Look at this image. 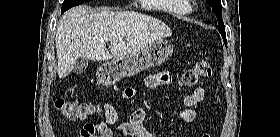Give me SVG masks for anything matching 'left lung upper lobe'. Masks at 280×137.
Returning a JSON list of instances; mask_svg holds the SVG:
<instances>
[{
    "instance_id": "obj_1",
    "label": "left lung upper lobe",
    "mask_w": 280,
    "mask_h": 137,
    "mask_svg": "<svg viewBox=\"0 0 280 137\" xmlns=\"http://www.w3.org/2000/svg\"><path fill=\"white\" fill-rule=\"evenodd\" d=\"M207 3L212 6V10L214 11L217 20H218V31L220 32L225 46L227 47V40H226V33H225V26L222 20V5L220 0H206Z\"/></svg>"
}]
</instances>
